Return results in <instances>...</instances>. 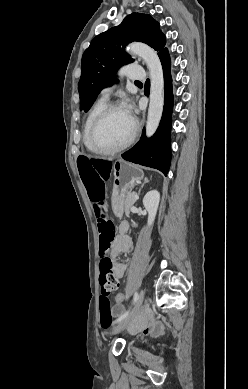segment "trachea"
Returning a JSON list of instances; mask_svg holds the SVG:
<instances>
[{
  "mask_svg": "<svg viewBox=\"0 0 248 389\" xmlns=\"http://www.w3.org/2000/svg\"><path fill=\"white\" fill-rule=\"evenodd\" d=\"M140 81H135V83H139Z\"/></svg>",
  "mask_w": 248,
  "mask_h": 389,
  "instance_id": "obj_1",
  "label": "trachea"
}]
</instances>
